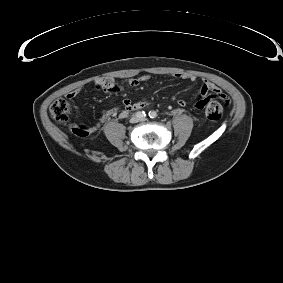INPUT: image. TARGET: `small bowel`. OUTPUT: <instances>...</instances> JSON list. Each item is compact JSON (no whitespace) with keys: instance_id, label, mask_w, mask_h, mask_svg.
Returning a JSON list of instances; mask_svg holds the SVG:
<instances>
[{"instance_id":"1","label":"small bowel","mask_w":283,"mask_h":283,"mask_svg":"<svg viewBox=\"0 0 283 283\" xmlns=\"http://www.w3.org/2000/svg\"><path fill=\"white\" fill-rule=\"evenodd\" d=\"M174 76L175 78L182 79V80H188L190 82H194L196 80V77L194 75L187 74V73H178ZM149 79H150L149 76H142L139 79L128 81L126 86H120V85H117L112 79L104 78V79H100L96 81L95 86L101 92L119 93V92H122L127 87L138 86L141 83L147 82ZM82 90H83V87L75 88L69 91L66 94V97L69 99H72L76 97ZM220 92H221L220 89L216 87L213 83L208 82V81L204 82L201 85L200 90H199V98L198 100L194 102L193 107L197 110L206 109L208 105L217 97V95ZM148 105H149L148 101H138V102L132 103L130 100L126 99L123 101L120 115L121 117H126L129 114V112L144 109ZM178 105L180 107H185L187 103L185 100H179ZM116 114H117L116 110L103 111L100 121L91 128L92 131L98 130L105 121L115 116Z\"/></svg>"}]
</instances>
